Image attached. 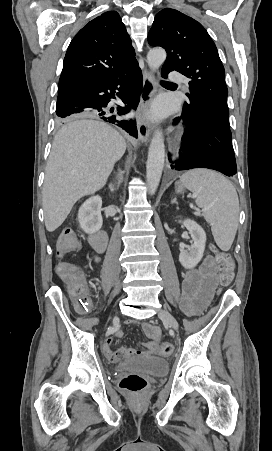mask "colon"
<instances>
[{"label":"colon","mask_w":272,"mask_h":451,"mask_svg":"<svg viewBox=\"0 0 272 451\" xmlns=\"http://www.w3.org/2000/svg\"><path fill=\"white\" fill-rule=\"evenodd\" d=\"M78 236L75 230L66 228L60 237L58 250L62 256H76L78 254ZM214 255L218 262L220 275L219 286H226L231 283L234 277L235 264L232 257L224 250L214 248ZM58 276L63 289H70V296L76 307L89 305L91 302L90 288H85L83 283L85 276L78 265L71 266L69 263H61L57 266ZM216 286V285H215ZM161 354H170V345L160 346ZM123 354L116 356L117 360H122ZM148 387L147 378L140 374H131L120 380V388L132 393H140Z\"/></svg>","instance_id":"1"}]
</instances>
